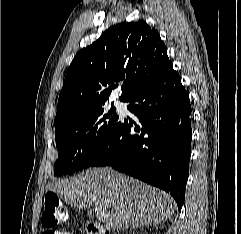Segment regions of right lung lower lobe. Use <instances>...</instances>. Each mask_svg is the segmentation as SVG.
Here are the masks:
<instances>
[{"label":"right lung lower lobe","mask_w":241,"mask_h":234,"mask_svg":"<svg viewBox=\"0 0 241 234\" xmlns=\"http://www.w3.org/2000/svg\"><path fill=\"white\" fill-rule=\"evenodd\" d=\"M128 102L139 121H121L91 166L109 165L159 187L181 210L191 154V106L172 63Z\"/></svg>","instance_id":"98d812e1"}]
</instances>
